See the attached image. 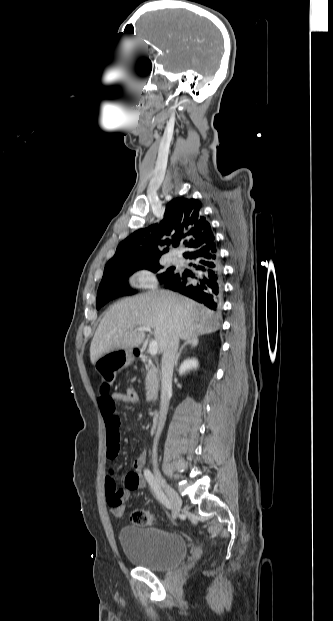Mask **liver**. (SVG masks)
Listing matches in <instances>:
<instances>
[{"label": "liver", "instance_id": "1", "mask_svg": "<svg viewBox=\"0 0 333 621\" xmlns=\"http://www.w3.org/2000/svg\"><path fill=\"white\" fill-rule=\"evenodd\" d=\"M154 329L161 352L171 335L188 340L210 334L220 327L219 316L205 306L170 291H151L120 300L103 316L90 345L92 364L118 349H132L142 344L144 331L136 327Z\"/></svg>", "mask_w": 333, "mask_h": 621}]
</instances>
